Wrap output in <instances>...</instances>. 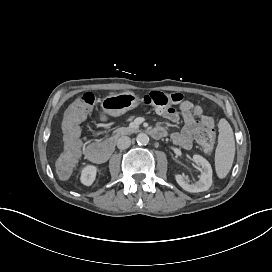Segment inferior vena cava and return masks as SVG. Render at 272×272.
I'll return each instance as SVG.
<instances>
[{
    "label": "inferior vena cava",
    "mask_w": 272,
    "mask_h": 272,
    "mask_svg": "<svg viewBox=\"0 0 272 272\" xmlns=\"http://www.w3.org/2000/svg\"><path fill=\"white\" fill-rule=\"evenodd\" d=\"M131 144V139L128 136H122L117 141V147L119 149H127Z\"/></svg>",
    "instance_id": "602c4592"
}]
</instances>
